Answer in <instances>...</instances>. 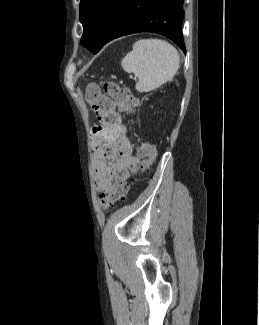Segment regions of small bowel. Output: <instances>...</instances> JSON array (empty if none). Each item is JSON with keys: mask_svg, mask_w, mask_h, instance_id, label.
<instances>
[{"mask_svg": "<svg viewBox=\"0 0 259 325\" xmlns=\"http://www.w3.org/2000/svg\"><path fill=\"white\" fill-rule=\"evenodd\" d=\"M109 113L115 118V124L110 128L101 129L99 139L92 143L96 150L95 184L102 193L112 190L113 181L119 173H137L140 167V159L133 152L121 116L114 107L109 109Z\"/></svg>", "mask_w": 259, "mask_h": 325, "instance_id": "obj_1", "label": "small bowel"}]
</instances>
